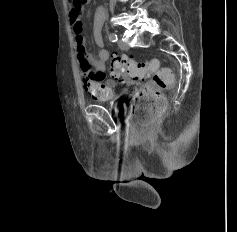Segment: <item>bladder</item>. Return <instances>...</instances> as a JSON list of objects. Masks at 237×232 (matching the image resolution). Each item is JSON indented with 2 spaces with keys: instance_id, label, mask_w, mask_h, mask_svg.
I'll return each mask as SVG.
<instances>
[{
  "instance_id": "obj_1",
  "label": "bladder",
  "mask_w": 237,
  "mask_h": 232,
  "mask_svg": "<svg viewBox=\"0 0 237 232\" xmlns=\"http://www.w3.org/2000/svg\"><path fill=\"white\" fill-rule=\"evenodd\" d=\"M110 105L116 112L122 113L125 110V105L121 100H114Z\"/></svg>"
}]
</instances>
